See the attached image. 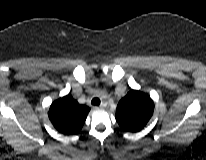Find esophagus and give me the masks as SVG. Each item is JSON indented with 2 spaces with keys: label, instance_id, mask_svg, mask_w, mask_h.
<instances>
[{
  "label": "esophagus",
  "instance_id": "esophagus-1",
  "mask_svg": "<svg viewBox=\"0 0 206 160\" xmlns=\"http://www.w3.org/2000/svg\"><path fill=\"white\" fill-rule=\"evenodd\" d=\"M106 105H107L106 102H102L99 107H100V108H105Z\"/></svg>",
  "mask_w": 206,
  "mask_h": 160
}]
</instances>
